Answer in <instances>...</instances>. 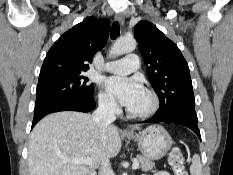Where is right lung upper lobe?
<instances>
[{
    "label": "right lung upper lobe",
    "mask_w": 233,
    "mask_h": 175,
    "mask_svg": "<svg viewBox=\"0 0 233 175\" xmlns=\"http://www.w3.org/2000/svg\"><path fill=\"white\" fill-rule=\"evenodd\" d=\"M109 21L87 17L65 32L48 51L40 77L83 73L89 69L93 55L107 42Z\"/></svg>",
    "instance_id": "cb5924a9"
}]
</instances>
